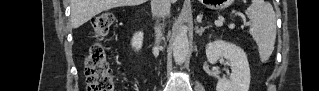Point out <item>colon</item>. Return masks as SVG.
Listing matches in <instances>:
<instances>
[{
	"mask_svg": "<svg viewBox=\"0 0 319 91\" xmlns=\"http://www.w3.org/2000/svg\"><path fill=\"white\" fill-rule=\"evenodd\" d=\"M114 22L111 12H102L92 20L94 36L102 39ZM85 74L88 91H115L116 82L110 70L106 53L99 42L93 43L85 56Z\"/></svg>",
	"mask_w": 319,
	"mask_h": 91,
	"instance_id": "colon-1",
	"label": "colon"
}]
</instances>
